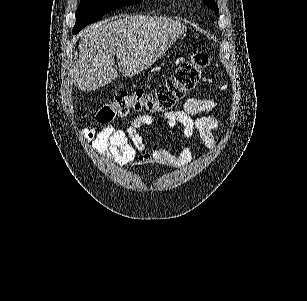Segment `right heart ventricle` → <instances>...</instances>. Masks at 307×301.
<instances>
[{
    "instance_id": "1",
    "label": "right heart ventricle",
    "mask_w": 307,
    "mask_h": 301,
    "mask_svg": "<svg viewBox=\"0 0 307 301\" xmlns=\"http://www.w3.org/2000/svg\"><path fill=\"white\" fill-rule=\"evenodd\" d=\"M170 15H171V16H174V15H175V12H174V11H171V12H170Z\"/></svg>"
}]
</instances>
